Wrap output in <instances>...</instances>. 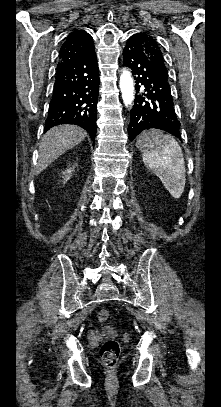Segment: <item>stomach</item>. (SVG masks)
<instances>
[{"mask_svg":"<svg viewBox=\"0 0 221 407\" xmlns=\"http://www.w3.org/2000/svg\"><path fill=\"white\" fill-rule=\"evenodd\" d=\"M162 133L156 130H149L142 133L137 140V147L141 151L159 147Z\"/></svg>","mask_w":221,"mask_h":407,"instance_id":"stomach-1","label":"stomach"}]
</instances>
